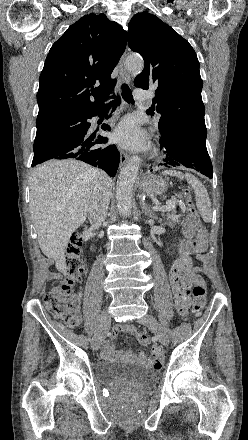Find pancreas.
<instances>
[{"instance_id": "1", "label": "pancreas", "mask_w": 248, "mask_h": 440, "mask_svg": "<svg viewBox=\"0 0 248 440\" xmlns=\"http://www.w3.org/2000/svg\"><path fill=\"white\" fill-rule=\"evenodd\" d=\"M170 212V213H169ZM163 216L168 221L167 224L169 226H173V224L179 223L181 215L176 214V207L175 204L172 206V208L168 211V213L163 214Z\"/></svg>"}]
</instances>
